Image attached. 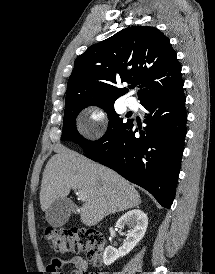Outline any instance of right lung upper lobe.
<instances>
[{
	"label": "right lung upper lobe",
	"mask_w": 215,
	"mask_h": 274,
	"mask_svg": "<svg viewBox=\"0 0 215 274\" xmlns=\"http://www.w3.org/2000/svg\"><path fill=\"white\" fill-rule=\"evenodd\" d=\"M140 84V103L183 90L181 65L170 40L155 27L132 26L90 46L74 62L65 106L79 102H115Z\"/></svg>",
	"instance_id": "cb5924a9"
}]
</instances>
